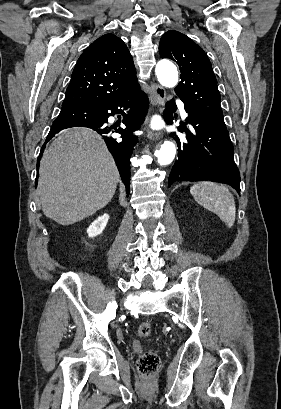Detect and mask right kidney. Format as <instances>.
<instances>
[{
	"instance_id": "1",
	"label": "right kidney",
	"mask_w": 281,
	"mask_h": 409,
	"mask_svg": "<svg viewBox=\"0 0 281 409\" xmlns=\"http://www.w3.org/2000/svg\"><path fill=\"white\" fill-rule=\"evenodd\" d=\"M109 215H101V217H98L96 221H93L91 223L90 227L87 229L88 237H97V235H100L102 231H104L107 223H108Z\"/></svg>"
}]
</instances>
